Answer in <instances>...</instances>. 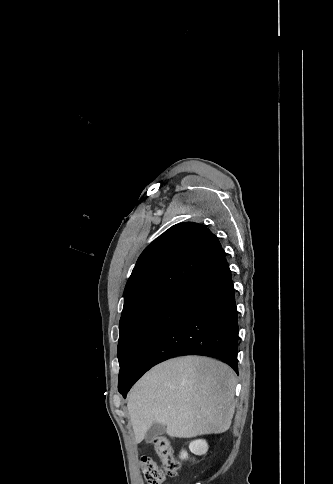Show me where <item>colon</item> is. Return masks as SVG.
Listing matches in <instances>:
<instances>
[{"instance_id": "obj_1", "label": "colon", "mask_w": 333, "mask_h": 484, "mask_svg": "<svg viewBox=\"0 0 333 484\" xmlns=\"http://www.w3.org/2000/svg\"><path fill=\"white\" fill-rule=\"evenodd\" d=\"M153 445L161 459V464L150 457H144L141 461L144 479L147 484H163L167 478L177 475L180 463L166 437H156L153 440Z\"/></svg>"}]
</instances>
